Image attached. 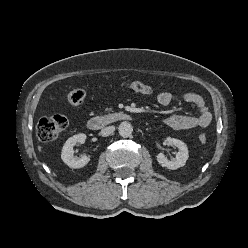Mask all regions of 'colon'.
Here are the masks:
<instances>
[{
    "label": "colon",
    "mask_w": 248,
    "mask_h": 248,
    "mask_svg": "<svg viewBox=\"0 0 248 248\" xmlns=\"http://www.w3.org/2000/svg\"><path fill=\"white\" fill-rule=\"evenodd\" d=\"M126 87L141 94H150L153 91L151 86L140 81L128 83ZM86 99L87 93L82 89H75L67 94V100L73 105H79ZM67 124L68 121L64 115L56 114L43 117L37 125V136L43 142L53 141L65 130ZM206 140L205 134L199 136L201 144L206 143Z\"/></svg>",
    "instance_id": "obj_1"
}]
</instances>
